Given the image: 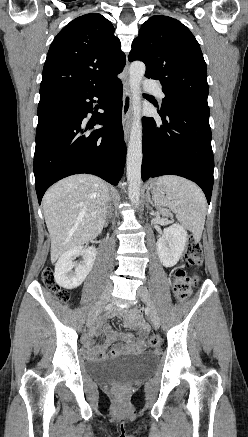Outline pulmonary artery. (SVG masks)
I'll return each mask as SVG.
<instances>
[{
    "label": "pulmonary artery",
    "mask_w": 248,
    "mask_h": 437,
    "mask_svg": "<svg viewBox=\"0 0 248 437\" xmlns=\"http://www.w3.org/2000/svg\"><path fill=\"white\" fill-rule=\"evenodd\" d=\"M144 89L150 93L157 95L160 99L164 98V93L162 92L160 87L153 83V81L151 80H144Z\"/></svg>",
    "instance_id": "pulmonary-artery-1"
}]
</instances>
